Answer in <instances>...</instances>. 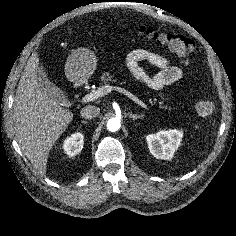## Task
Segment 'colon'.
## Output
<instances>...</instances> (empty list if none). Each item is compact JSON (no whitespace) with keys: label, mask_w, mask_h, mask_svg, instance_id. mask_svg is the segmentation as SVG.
<instances>
[{"label":"colon","mask_w":236,"mask_h":236,"mask_svg":"<svg viewBox=\"0 0 236 236\" xmlns=\"http://www.w3.org/2000/svg\"><path fill=\"white\" fill-rule=\"evenodd\" d=\"M138 33L147 40L176 52L185 58L186 63L194 55L195 45L193 41L183 35L161 32L148 26L139 27ZM195 109L201 118H210L214 112V105L210 101L197 99Z\"/></svg>","instance_id":"obj_1"}]
</instances>
